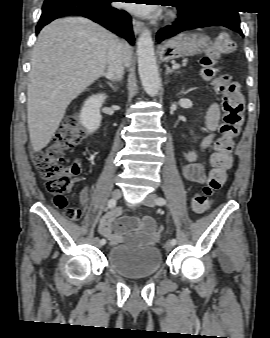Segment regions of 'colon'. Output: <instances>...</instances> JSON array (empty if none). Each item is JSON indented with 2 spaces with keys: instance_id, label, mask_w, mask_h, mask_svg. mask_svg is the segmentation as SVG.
Wrapping results in <instances>:
<instances>
[{
  "instance_id": "1",
  "label": "colon",
  "mask_w": 270,
  "mask_h": 338,
  "mask_svg": "<svg viewBox=\"0 0 270 338\" xmlns=\"http://www.w3.org/2000/svg\"><path fill=\"white\" fill-rule=\"evenodd\" d=\"M234 49L233 38L223 34L213 39L207 54L201 59L203 78L211 81L214 90L222 96L223 122L220 136L214 141L208 181L192 198V209L200 214L209 211L213 193L221 189L227 180L233 163L231 153L234 142L244 120V105L239 85L229 74H221L218 66L219 59ZM85 136L86 130L79 118L70 117L61 125L48 147L32 154L33 165L51 194L54 205L71 220H78L82 216L80 207L70 206L64 199L76 181L77 168L73 165L65 167L63 162L65 153L72 150ZM125 227L138 228L139 224L127 222Z\"/></svg>"
}]
</instances>
